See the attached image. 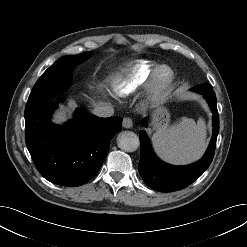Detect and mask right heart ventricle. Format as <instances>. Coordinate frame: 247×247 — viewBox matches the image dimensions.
Returning <instances> with one entry per match:
<instances>
[{"mask_svg":"<svg viewBox=\"0 0 247 247\" xmlns=\"http://www.w3.org/2000/svg\"><path fill=\"white\" fill-rule=\"evenodd\" d=\"M158 65L149 60H136L126 69L123 78L116 85L118 94L125 96L136 91L152 74Z\"/></svg>","mask_w":247,"mask_h":247,"instance_id":"e07e8e85","label":"right heart ventricle"}]
</instances>
